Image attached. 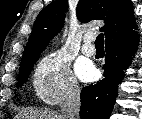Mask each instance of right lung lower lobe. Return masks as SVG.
I'll list each match as a JSON object with an SVG mask.
<instances>
[{
    "instance_id": "obj_1",
    "label": "right lung lower lobe",
    "mask_w": 142,
    "mask_h": 119,
    "mask_svg": "<svg viewBox=\"0 0 142 119\" xmlns=\"http://www.w3.org/2000/svg\"><path fill=\"white\" fill-rule=\"evenodd\" d=\"M138 34L133 31L124 37L106 43L104 79L81 92V119H109L116 96L117 85L124 77L137 48Z\"/></svg>"
}]
</instances>
